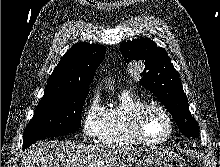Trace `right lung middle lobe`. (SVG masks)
I'll list each match as a JSON object with an SVG mask.
<instances>
[{
	"instance_id": "obj_1",
	"label": "right lung middle lobe",
	"mask_w": 220,
	"mask_h": 167,
	"mask_svg": "<svg viewBox=\"0 0 220 167\" xmlns=\"http://www.w3.org/2000/svg\"><path fill=\"white\" fill-rule=\"evenodd\" d=\"M89 89L69 91L41 99L28 123L23 150L42 138L76 132L81 127V112Z\"/></svg>"
}]
</instances>
